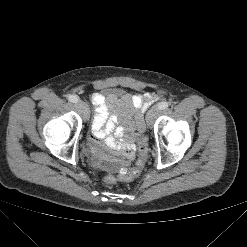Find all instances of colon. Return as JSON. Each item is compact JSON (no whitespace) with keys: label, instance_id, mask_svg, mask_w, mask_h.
Wrapping results in <instances>:
<instances>
[{"label":"colon","instance_id":"1","mask_svg":"<svg viewBox=\"0 0 247 247\" xmlns=\"http://www.w3.org/2000/svg\"><path fill=\"white\" fill-rule=\"evenodd\" d=\"M138 143H139V158L136 166L121 171L117 178L114 176L106 177L105 183L107 185H113L117 182V180L131 181L139 176L143 168V165L145 163L147 157V151H148L147 140L145 136L142 135L141 133L138 135Z\"/></svg>","mask_w":247,"mask_h":247}]
</instances>
